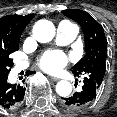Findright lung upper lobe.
Masks as SVG:
<instances>
[{
	"label": "right lung upper lobe",
	"instance_id": "1",
	"mask_svg": "<svg viewBox=\"0 0 117 117\" xmlns=\"http://www.w3.org/2000/svg\"><path fill=\"white\" fill-rule=\"evenodd\" d=\"M33 17L34 14L7 15L0 18V54L18 50L20 36Z\"/></svg>",
	"mask_w": 117,
	"mask_h": 117
}]
</instances>
